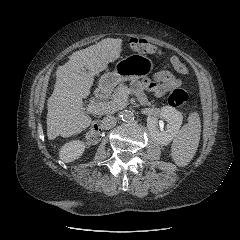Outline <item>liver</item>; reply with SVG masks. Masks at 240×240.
<instances>
[{
	"label": "liver",
	"mask_w": 240,
	"mask_h": 240,
	"mask_svg": "<svg viewBox=\"0 0 240 240\" xmlns=\"http://www.w3.org/2000/svg\"><path fill=\"white\" fill-rule=\"evenodd\" d=\"M121 51V39L106 38L74 52L57 68L54 91L47 101L48 139L77 135L90 126L92 119L83 112V99L90 94L94 75L107 69Z\"/></svg>",
	"instance_id": "1"
}]
</instances>
